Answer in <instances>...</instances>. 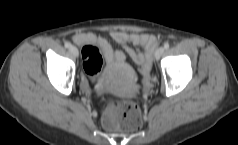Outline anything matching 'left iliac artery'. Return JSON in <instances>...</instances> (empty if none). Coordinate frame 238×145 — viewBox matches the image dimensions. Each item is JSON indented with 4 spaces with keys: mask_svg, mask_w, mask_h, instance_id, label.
<instances>
[{
    "mask_svg": "<svg viewBox=\"0 0 238 145\" xmlns=\"http://www.w3.org/2000/svg\"><path fill=\"white\" fill-rule=\"evenodd\" d=\"M170 47V44L168 43V42H166L165 44H164V48L165 49H168Z\"/></svg>",
    "mask_w": 238,
    "mask_h": 145,
    "instance_id": "1",
    "label": "left iliac artery"
}]
</instances>
